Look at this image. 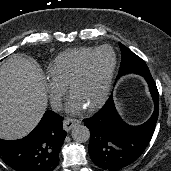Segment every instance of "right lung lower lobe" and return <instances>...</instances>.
<instances>
[{
    "label": "right lung lower lobe",
    "mask_w": 171,
    "mask_h": 171,
    "mask_svg": "<svg viewBox=\"0 0 171 171\" xmlns=\"http://www.w3.org/2000/svg\"><path fill=\"white\" fill-rule=\"evenodd\" d=\"M63 118L46 111L36 128L19 140L0 139V158L16 171H53L66 137Z\"/></svg>",
    "instance_id": "1"
}]
</instances>
